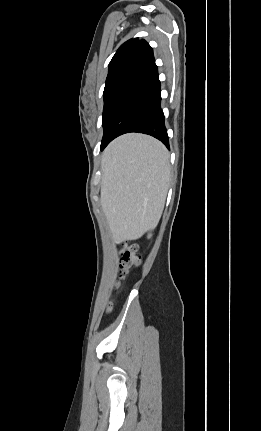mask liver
I'll return each instance as SVG.
<instances>
[{
  "label": "liver",
  "mask_w": 261,
  "mask_h": 431,
  "mask_svg": "<svg viewBox=\"0 0 261 431\" xmlns=\"http://www.w3.org/2000/svg\"><path fill=\"white\" fill-rule=\"evenodd\" d=\"M101 170L100 201L113 240L140 238L163 212L170 182L166 147L148 135H122L105 149Z\"/></svg>",
  "instance_id": "6515ba94"
}]
</instances>
